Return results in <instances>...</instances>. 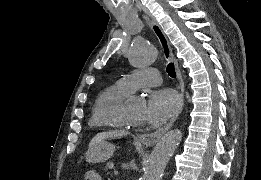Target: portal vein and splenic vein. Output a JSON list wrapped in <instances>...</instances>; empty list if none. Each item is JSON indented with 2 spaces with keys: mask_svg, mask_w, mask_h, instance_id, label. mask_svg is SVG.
I'll use <instances>...</instances> for the list:
<instances>
[{
  "mask_svg": "<svg viewBox=\"0 0 261 180\" xmlns=\"http://www.w3.org/2000/svg\"><path fill=\"white\" fill-rule=\"evenodd\" d=\"M112 174H113V175H116V176H119L120 171H119V170H113V171H112Z\"/></svg>",
  "mask_w": 261,
  "mask_h": 180,
  "instance_id": "portal-vein-and-splenic-vein-1",
  "label": "portal vein and splenic vein"
}]
</instances>
